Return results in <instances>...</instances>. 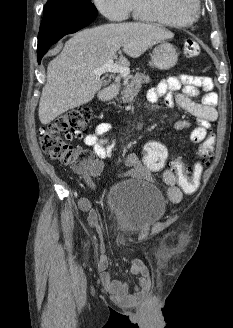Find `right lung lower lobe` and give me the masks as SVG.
<instances>
[{
	"label": "right lung lower lobe",
	"mask_w": 233,
	"mask_h": 328,
	"mask_svg": "<svg viewBox=\"0 0 233 328\" xmlns=\"http://www.w3.org/2000/svg\"><path fill=\"white\" fill-rule=\"evenodd\" d=\"M97 17V12L88 11H44L43 20L38 35L37 58L38 63L51 45L67 34L74 33Z\"/></svg>",
	"instance_id": "98d812e1"
}]
</instances>
